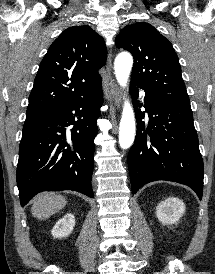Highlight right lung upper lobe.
Returning a JSON list of instances; mask_svg holds the SVG:
<instances>
[{
  "instance_id": "cb5924a9",
  "label": "right lung upper lobe",
  "mask_w": 215,
  "mask_h": 274,
  "mask_svg": "<svg viewBox=\"0 0 215 274\" xmlns=\"http://www.w3.org/2000/svg\"><path fill=\"white\" fill-rule=\"evenodd\" d=\"M103 39L89 26L64 30L40 63L27 112L55 111L91 91L106 62Z\"/></svg>"
}]
</instances>
